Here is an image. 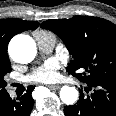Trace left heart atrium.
<instances>
[{"label":"left heart atrium","mask_w":116,"mask_h":116,"mask_svg":"<svg viewBox=\"0 0 116 116\" xmlns=\"http://www.w3.org/2000/svg\"><path fill=\"white\" fill-rule=\"evenodd\" d=\"M59 62L49 59L44 64L33 69L28 76V81L37 83H51L58 78Z\"/></svg>","instance_id":"1"}]
</instances>
